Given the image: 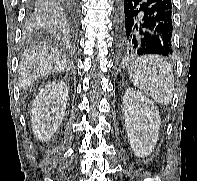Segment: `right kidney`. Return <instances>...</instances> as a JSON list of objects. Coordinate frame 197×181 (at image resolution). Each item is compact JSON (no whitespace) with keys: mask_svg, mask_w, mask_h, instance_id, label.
I'll list each match as a JSON object with an SVG mask.
<instances>
[{"mask_svg":"<svg viewBox=\"0 0 197 181\" xmlns=\"http://www.w3.org/2000/svg\"><path fill=\"white\" fill-rule=\"evenodd\" d=\"M69 88L63 81L50 82L41 89L32 104L31 122L34 135L50 140L61 125L67 105Z\"/></svg>","mask_w":197,"mask_h":181,"instance_id":"right-kidney-1","label":"right kidney"}]
</instances>
